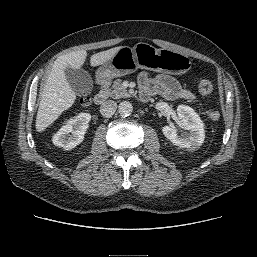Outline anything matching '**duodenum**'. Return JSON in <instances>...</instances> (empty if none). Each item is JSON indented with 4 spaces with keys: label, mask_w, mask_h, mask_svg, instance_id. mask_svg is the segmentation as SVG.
I'll list each match as a JSON object with an SVG mask.
<instances>
[{
    "label": "duodenum",
    "mask_w": 257,
    "mask_h": 257,
    "mask_svg": "<svg viewBox=\"0 0 257 257\" xmlns=\"http://www.w3.org/2000/svg\"><path fill=\"white\" fill-rule=\"evenodd\" d=\"M108 82L109 80L107 78H103L102 80L99 81V86L101 87V90L94 97V102L97 105H102L108 97V93L105 89L106 86L108 85Z\"/></svg>",
    "instance_id": "obj_1"
}]
</instances>
